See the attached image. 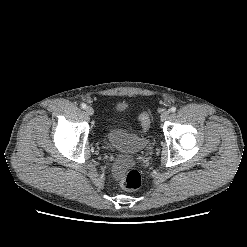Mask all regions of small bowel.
Instances as JSON below:
<instances>
[{"instance_id": "1", "label": "small bowel", "mask_w": 247, "mask_h": 247, "mask_svg": "<svg viewBox=\"0 0 247 247\" xmlns=\"http://www.w3.org/2000/svg\"><path fill=\"white\" fill-rule=\"evenodd\" d=\"M125 169V162L121 161L115 164L113 172L116 178H120L124 172Z\"/></svg>"}]
</instances>
